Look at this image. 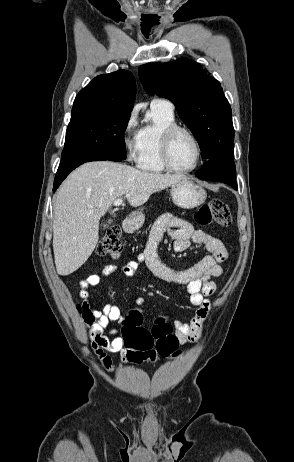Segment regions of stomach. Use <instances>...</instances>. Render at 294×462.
Returning <instances> with one entry per match:
<instances>
[{
	"instance_id": "obj_1",
	"label": "stomach",
	"mask_w": 294,
	"mask_h": 462,
	"mask_svg": "<svg viewBox=\"0 0 294 462\" xmlns=\"http://www.w3.org/2000/svg\"><path fill=\"white\" fill-rule=\"evenodd\" d=\"M170 193L174 204L184 209L195 208L201 205L207 197L206 191L189 178L181 179L172 185ZM144 220V214L137 212L134 219L135 227H141Z\"/></svg>"
}]
</instances>
